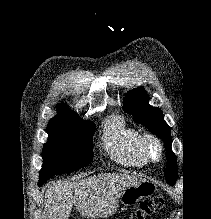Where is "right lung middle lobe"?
<instances>
[{"label":"right lung middle lobe","instance_id":"dd1d6c3e","mask_svg":"<svg viewBox=\"0 0 211 219\" xmlns=\"http://www.w3.org/2000/svg\"><path fill=\"white\" fill-rule=\"evenodd\" d=\"M94 130V123L83 121L79 117L49 121L48 142L43 147L39 186L55 174L77 170L92 161Z\"/></svg>","mask_w":211,"mask_h":219}]
</instances>
